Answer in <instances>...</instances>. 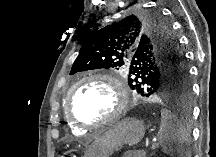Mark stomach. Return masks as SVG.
I'll list each match as a JSON object with an SVG mask.
<instances>
[{"label":"stomach","mask_w":216,"mask_h":157,"mask_svg":"<svg viewBox=\"0 0 216 157\" xmlns=\"http://www.w3.org/2000/svg\"><path fill=\"white\" fill-rule=\"evenodd\" d=\"M145 132L142 122L126 118L99 135L88 147L84 157H110V155L125 144L139 142Z\"/></svg>","instance_id":"obj_1"}]
</instances>
